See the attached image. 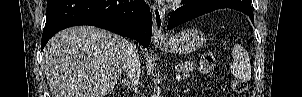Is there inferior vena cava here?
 Returning a JSON list of instances; mask_svg holds the SVG:
<instances>
[{
    "label": "inferior vena cava",
    "mask_w": 302,
    "mask_h": 97,
    "mask_svg": "<svg viewBox=\"0 0 302 97\" xmlns=\"http://www.w3.org/2000/svg\"><path fill=\"white\" fill-rule=\"evenodd\" d=\"M124 69L129 82L136 89L139 85L140 62L136 44L131 41H126Z\"/></svg>",
    "instance_id": "obj_1"
}]
</instances>
